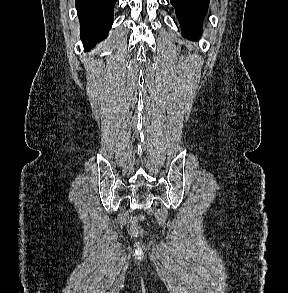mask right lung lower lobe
I'll return each mask as SVG.
<instances>
[{"label":"right lung lower lobe","mask_w":288,"mask_h":293,"mask_svg":"<svg viewBox=\"0 0 288 293\" xmlns=\"http://www.w3.org/2000/svg\"><path fill=\"white\" fill-rule=\"evenodd\" d=\"M117 0H76L81 24V38L86 51L107 36L113 23Z\"/></svg>","instance_id":"obj_1"}]
</instances>
